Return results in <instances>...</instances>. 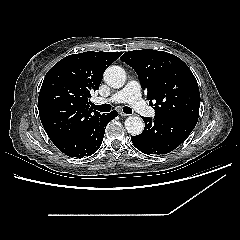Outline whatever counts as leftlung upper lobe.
I'll use <instances>...</instances> for the list:
<instances>
[{"mask_svg": "<svg viewBox=\"0 0 240 240\" xmlns=\"http://www.w3.org/2000/svg\"><path fill=\"white\" fill-rule=\"evenodd\" d=\"M121 60L136 71L150 102L156 100V117H198V84L181 59L164 51L143 49L124 53Z\"/></svg>", "mask_w": 240, "mask_h": 240, "instance_id": "1", "label": "left lung upper lobe"}]
</instances>
